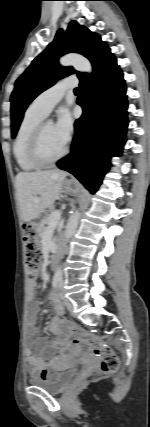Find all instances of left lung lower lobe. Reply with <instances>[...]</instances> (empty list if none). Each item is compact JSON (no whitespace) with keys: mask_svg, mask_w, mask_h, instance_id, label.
Masks as SVG:
<instances>
[{"mask_svg":"<svg viewBox=\"0 0 150 427\" xmlns=\"http://www.w3.org/2000/svg\"><path fill=\"white\" fill-rule=\"evenodd\" d=\"M77 104L83 115L74 123L70 154L56 164L73 174L95 193L125 143L127 120L126 86L116 58L109 51L96 64L93 74L80 79Z\"/></svg>","mask_w":150,"mask_h":427,"instance_id":"obj_1","label":"left lung lower lobe"}]
</instances>
